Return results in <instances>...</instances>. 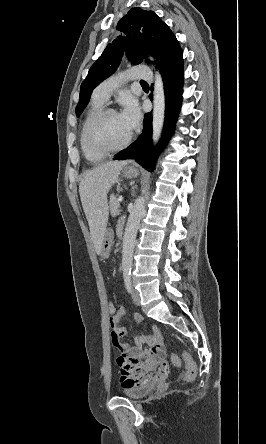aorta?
Wrapping results in <instances>:
<instances>
[{
	"label": "aorta",
	"instance_id": "obj_1",
	"mask_svg": "<svg viewBox=\"0 0 266 444\" xmlns=\"http://www.w3.org/2000/svg\"><path fill=\"white\" fill-rule=\"evenodd\" d=\"M153 60L152 57H150ZM165 114V94L162 77L158 70L155 71L154 93H153V141L157 143ZM145 213V198L143 195L139 196L134 203L133 209L130 212L128 222L123 238L122 250V269L123 274H128L132 267L133 252L136 245V236L141 217Z\"/></svg>",
	"mask_w": 266,
	"mask_h": 444
}]
</instances>
